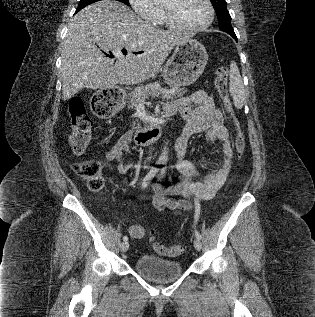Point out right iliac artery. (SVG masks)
I'll use <instances>...</instances> for the list:
<instances>
[{
	"mask_svg": "<svg viewBox=\"0 0 315 317\" xmlns=\"http://www.w3.org/2000/svg\"><path fill=\"white\" fill-rule=\"evenodd\" d=\"M161 164L160 161L157 162V166L152 167L151 170L148 172V174L144 177L143 182H142V187L145 188L148 186V184L150 183V181L152 180V178L157 174V172L159 171V165ZM124 241L128 240L127 236L123 237Z\"/></svg>",
	"mask_w": 315,
	"mask_h": 317,
	"instance_id": "82829eb1",
	"label": "right iliac artery"
}]
</instances>
